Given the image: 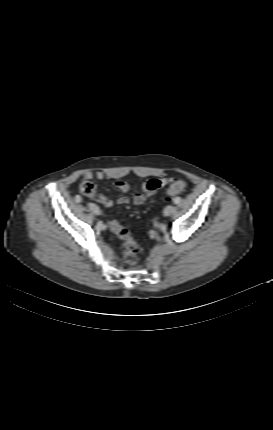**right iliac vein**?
<instances>
[{"instance_id":"63e3f726","label":"right iliac vein","mask_w":273,"mask_h":430,"mask_svg":"<svg viewBox=\"0 0 273 430\" xmlns=\"http://www.w3.org/2000/svg\"><path fill=\"white\" fill-rule=\"evenodd\" d=\"M90 210H91L94 214H96V215H100V214H101V210H100V208H99L97 205L93 204V203H92V205L90 206Z\"/></svg>"}]
</instances>
